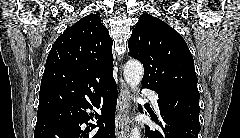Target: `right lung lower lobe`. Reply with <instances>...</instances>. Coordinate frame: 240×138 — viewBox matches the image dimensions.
Instances as JSON below:
<instances>
[{
    "instance_id": "98d812e1",
    "label": "right lung lower lobe",
    "mask_w": 240,
    "mask_h": 138,
    "mask_svg": "<svg viewBox=\"0 0 240 138\" xmlns=\"http://www.w3.org/2000/svg\"><path fill=\"white\" fill-rule=\"evenodd\" d=\"M103 97L101 115H96L97 125L83 124L91 119L86 109L100 105ZM117 104V88L114 79L110 81L99 93L71 104L63 105L42 113H38L34 138H115L114 115ZM103 123L95 133L91 131Z\"/></svg>"
}]
</instances>
